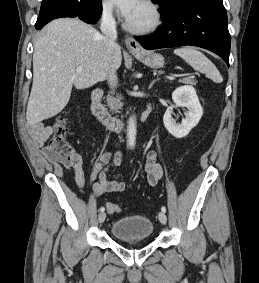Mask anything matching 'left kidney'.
<instances>
[{
	"mask_svg": "<svg viewBox=\"0 0 259 283\" xmlns=\"http://www.w3.org/2000/svg\"><path fill=\"white\" fill-rule=\"evenodd\" d=\"M172 99L176 107H186L188 112L185 113L182 122L177 124L171 115L174 107H169L163 117L164 126L174 137L183 138L198 124L203 115V109L192 86L178 87L172 93Z\"/></svg>",
	"mask_w": 259,
	"mask_h": 283,
	"instance_id": "left-kidney-1",
	"label": "left kidney"
}]
</instances>
